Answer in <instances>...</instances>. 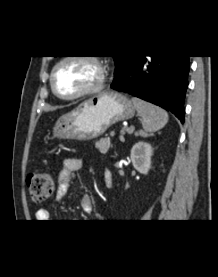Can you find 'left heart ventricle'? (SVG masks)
I'll use <instances>...</instances> for the list:
<instances>
[{"label":"left heart ventricle","mask_w":218,"mask_h":277,"mask_svg":"<svg viewBox=\"0 0 218 277\" xmlns=\"http://www.w3.org/2000/svg\"><path fill=\"white\" fill-rule=\"evenodd\" d=\"M95 75V70L89 64L71 61L56 72L55 86L62 95H74L91 84Z\"/></svg>","instance_id":"b2bd125f"}]
</instances>
